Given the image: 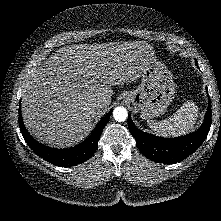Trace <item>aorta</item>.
Returning a JSON list of instances; mask_svg holds the SVG:
<instances>
[{"label": "aorta", "mask_w": 221, "mask_h": 221, "mask_svg": "<svg viewBox=\"0 0 221 221\" xmlns=\"http://www.w3.org/2000/svg\"><path fill=\"white\" fill-rule=\"evenodd\" d=\"M128 112L124 107H117L113 111V118L118 122H123L127 119Z\"/></svg>", "instance_id": "aorta-1"}]
</instances>
